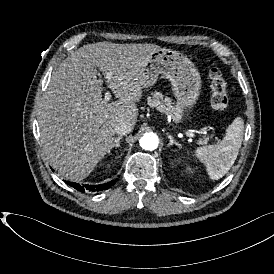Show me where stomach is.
Masks as SVG:
<instances>
[{
	"mask_svg": "<svg viewBox=\"0 0 274 274\" xmlns=\"http://www.w3.org/2000/svg\"><path fill=\"white\" fill-rule=\"evenodd\" d=\"M159 74L169 81L173 96L183 111L182 119L191 121L202 88L197 66L185 54L161 48L150 57L144 68L143 86H150Z\"/></svg>",
	"mask_w": 274,
	"mask_h": 274,
	"instance_id": "1",
	"label": "stomach"
}]
</instances>
